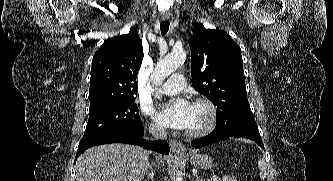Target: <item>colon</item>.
<instances>
[{
	"label": "colon",
	"mask_w": 333,
	"mask_h": 181,
	"mask_svg": "<svg viewBox=\"0 0 333 181\" xmlns=\"http://www.w3.org/2000/svg\"><path fill=\"white\" fill-rule=\"evenodd\" d=\"M245 181H252V176L251 175H247L245 177Z\"/></svg>",
	"instance_id": "colon-1"
}]
</instances>
